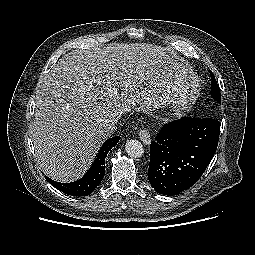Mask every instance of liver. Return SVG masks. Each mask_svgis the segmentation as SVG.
Wrapping results in <instances>:
<instances>
[{
  "label": "liver",
  "mask_w": 255,
  "mask_h": 255,
  "mask_svg": "<svg viewBox=\"0 0 255 255\" xmlns=\"http://www.w3.org/2000/svg\"><path fill=\"white\" fill-rule=\"evenodd\" d=\"M189 74L188 63L149 43L67 54L44 77L37 101L32 139L38 165L56 181L77 180L113 132L114 118L194 101L197 85Z\"/></svg>",
  "instance_id": "liver-1"
}]
</instances>
